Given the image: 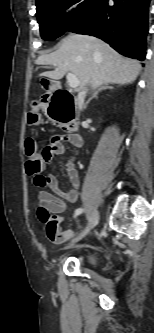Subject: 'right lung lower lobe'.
Instances as JSON below:
<instances>
[{
    "label": "right lung lower lobe",
    "instance_id": "right-lung-lower-lobe-1",
    "mask_svg": "<svg viewBox=\"0 0 154 333\" xmlns=\"http://www.w3.org/2000/svg\"><path fill=\"white\" fill-rule=\"evenodd\" d=\"M108 1L97 0L86 19L70 31L98 37L122 55L143 61L150 0Z\"/></svg>",
    "mask_w": 154,
    "mask_h": 333
}]
</instances>
